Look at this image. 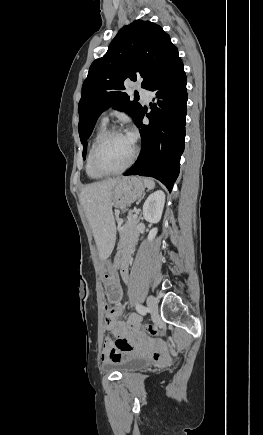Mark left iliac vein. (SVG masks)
<instances>
[{
  "label": "left iliac vein",
  "instance_id": "obj_1",
  "mask_svg": "<svg viewBox=\"0 0 263 435\" xmlns=\"http://www.w3.org/2000/svg\"><path fill=\"white\" fill-rule=\"evenodd\" d=\"M147 305L152 319L155 321L158 318V302L157 299L150 295L147 298Z\"/></svg>",
  "mask_w": 263,
  "mask_h": 435
}]
</instances>
